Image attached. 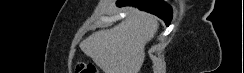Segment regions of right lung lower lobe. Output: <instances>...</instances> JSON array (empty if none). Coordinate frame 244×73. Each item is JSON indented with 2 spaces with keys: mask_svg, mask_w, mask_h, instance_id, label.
Returning a JSON list of instances; mask_svg holds the SVG:
<instances>
[{
  "mask_svg": "<svg viewBox=\"0 0 244 73\" xmlns=\"http://www.w3.org/2000/svg\"><path fill=\"white\" fill-rule=\"evenodd\" d=\"M118 6H137L141 10L155 14L168 26L172 18V9L162 0H118Z\"/></svg>",
  "mask_w": 244,
  "mask_h": 73,
  "instance_id": "1",
  "label": "right lung lower lobe"
}]
</instances>
